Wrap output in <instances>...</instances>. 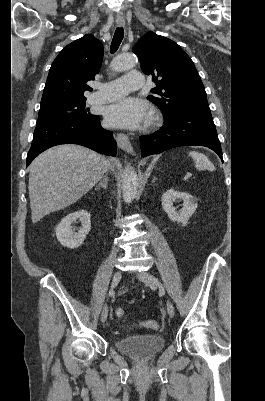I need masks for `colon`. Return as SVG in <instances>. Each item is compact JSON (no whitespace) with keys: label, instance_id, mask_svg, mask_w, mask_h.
<instances>
[{"label":"colon","instance_id":"5ec220e1","mask_svg":"<svg viewBox=\"0 0 265 401\" xmlns=\"http://www.w3.org/2000/svg\"><path fill=\"white\" fill-rule=\"evenodd\" d=\"M124 314H125L124 309L119 307V308L115 309V311L113 313V316L120 318V317H123ZM141 326L144 327V328H151V329H154V330H158L159 329L158 323L156 321H154V320L142 321L141 322Z\"/></svg>","mask_w":265,"mask_h":401}]
</instances>
